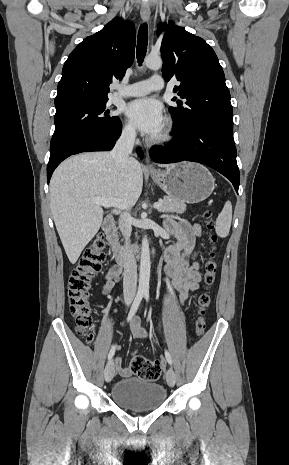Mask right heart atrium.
<instances>
[{
  "label": "right heart atrium",
  "mask_w": 289,
  "mask_h": 465,
  "mask_svg": "<svg viewBox=\"0 0 289 465\" xmlns=\"http://www.w3.org/2000/svg\"><path fill=\"white\" fill-rule=\"evenodd\" d=\"M121 134H122V137L126 140H129V141L135 140L136 129H135L134 124L129 120L125 121L122 127Z\"/></svg>",
  "instance_id": "d8ad5b80"
}]
</instances>
